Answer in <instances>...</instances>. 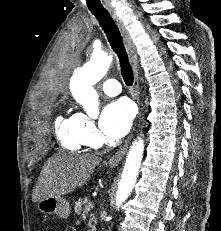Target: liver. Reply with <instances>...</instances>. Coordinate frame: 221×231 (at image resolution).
I'll return each mask as SVG.
<instances>
[{
    "label": "liver",
    "mask_w": 221,
    "mask_h": 231,
    "mask_svg": "<svg viewBox=\"0 0 221 231\" xmlns=\"http://www.w3.org/2000/svg\"><path fill=\"white\" fill-rule=\"evenodd\" d=\"M101 159L91 154L58 152L50 157L38 178L32 201L73 192L86 184Z\"/></svg>",
    "instance_id": "6515ba94"
}]
</instances>
